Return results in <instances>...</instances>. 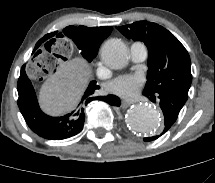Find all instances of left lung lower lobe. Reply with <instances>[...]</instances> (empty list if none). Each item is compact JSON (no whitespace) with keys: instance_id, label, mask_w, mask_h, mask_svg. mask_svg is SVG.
Instances as JSON below:
<instances>
[{"instance_id":"0a47b994","label":"left lung lower lobe","mask_w":215,"mask_h":183,"mask_svg":"<svg viewBox=\"0 0 215 183\" xmlns=\"http://www.w3.org/2000/svg\"><path fill=\"white\" fill-rule=\"evenodd\" d=\"M143 95L149 97L153 102H156V100L158 101L165 118V128L162 132V134H164L174 124L180 110L182 109L186 101L182 100L176 94L170 92H161L156 95H146L143 93ZM158 137L159 136L144 138V140L152 141L157 139Z\"/></svg>"}]
</instances>
